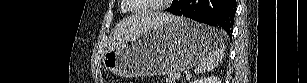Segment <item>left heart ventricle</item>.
<instances>
[{"instance_id":"b2bd125f","label":"left heart ventricle","mask_w":307,"mask_h":83,"mask_svg":"<svg viewBox=\"0 0 307 83\" xmlns=\"http://www.w3.org/2000/svg\"><path fill=\"white\" fill-rule=\"evenodd\" d=\"M135 2L136 3H142V5L138 4L139 8H145V7H148V6L152 5L151 3H160L161 0H142V1L141 0L137 1L136 0Z\"/></svg>"}]
</instances>
